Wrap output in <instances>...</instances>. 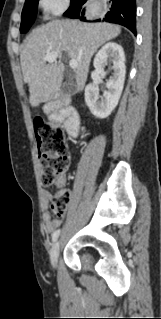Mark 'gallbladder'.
Returning <instances> with one entry per match:
<instances>
[{"label":"gallbladder","mask_w":161,"mask_h":319,"mask_svg":"<svg viewBox=\"0 0 161 319\" xmlns=\"http://www.w3.org/2000/svg\"><path fill=\"white\" fill-rule=\"evenodd\" d=\"M74 90V87L71 85H65L62 87L61 92L63 95L71 94Z\"/></svg>","instance_id":"bac80fb5"}]
</instances>
